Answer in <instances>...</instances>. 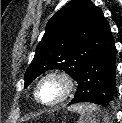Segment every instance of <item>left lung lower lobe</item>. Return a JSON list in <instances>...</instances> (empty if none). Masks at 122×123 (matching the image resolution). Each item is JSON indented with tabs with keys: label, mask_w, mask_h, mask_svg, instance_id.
Instances as JSON below:
<instances>
[{
	"label": "left lung lower lobe",
	"mask_w": 122,
	"mask_h": 123,
	"mask_svg": "<svg viewBox=\"0 0 122 123\" xmlns=\"http://www.w3.org/2000/svg\"><path fill=\"white\" fill-rule=\"evenodd\" d=\"M115 60L116 48L110 35L79 74L78 89L68 105L80 102L105 105L112 102L116 94Z\"/></svg>",
	"instance_id": "1"
}]
</instances>
